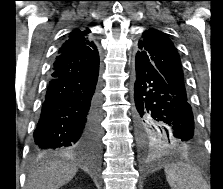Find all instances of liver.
Listing matches in <instances>:
<instances>
[{
	"label": "liver",
	"instance_id": "liver-1",
	"mask_svg": "<svg viewBox=\"0 0 223 189\" xmlns=\"http://www.w3.org/2000/svg\"><path fill=\"white\" fill-rule=\"evenodd\" d=\"M77 172V167L65 161H52L31 170L25 189H59L68 183Z\"/></svg>",
	"mask_w": 223,
	"mask_h": 189
}]
</instances>
